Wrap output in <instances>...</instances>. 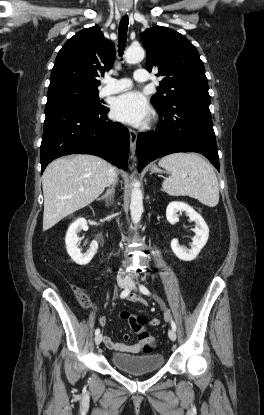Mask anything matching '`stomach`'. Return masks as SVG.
Segmentation results:
<instances>
[{
	"label": "stomach",
	"mask_w": 264,
	"mask_h": 415,
	"mask_svg": "<svg viewBox=\"0 0 264 415\" xmlns=\"http://www.w3.org/2000/svg\"><path fill=\"white\" fill-rule=\"evenodd\" d=\"M158 171V168H157V166H155V165H153L152 167H151V172H157Z\"/></svg>",
	"instance_id": "obj_1"
}]
</instances>
